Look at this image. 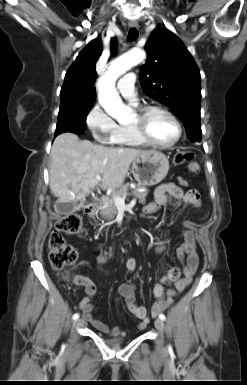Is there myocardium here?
Segmentation results:
<instances>
[{
  "mask_svg": "<svg viewBox=\"0 0 247 385\" xmlns=\"http://www.w3.org/2000/svg\"><path fill=\"white\" fill-rule=\"evenodd\" d=\"M162 112L165 115H167L175 124L176 129H177V134L176 137L173 139V141L169 143H158L154 141L148 134L147 129H146V120L148 116L152 112ZM132 129L134 132L137 134V136L147 145L159 148V149H169L175 146L181 139L182 134H183V128L181 125V122L179 119L167 108L159 106V105H149V106H144L141 107L137 113H136V121L131 124Z\"/></svg>",
  "mask_w": 247,
  "mask_h": 385,
  "instance_id": "obj_1",
  "label": "myocardium"
}]
</instances>
